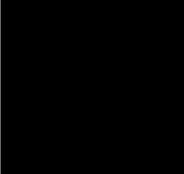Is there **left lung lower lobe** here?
I'll list each match as a JSON object with an SVG mask.
<instances>
[{
  "mask_svg": "<svg viewBox=\"0 0 184 174\" xmlns=\"http://www.w3.org/2000/svg\"><path fill=\"white\" fill-rule=\"evenodd\" d=\"M163 130L143 127L132 121L120 137V145L130 153H141L149 149L160 138Z\"/></svg>",
  "mask_w": 184,
  "mask_h": 174,
  "instance_id": "left-lung-lower-lobe-1",
  "label": "left lung lower lobe"
}]
</instances>
